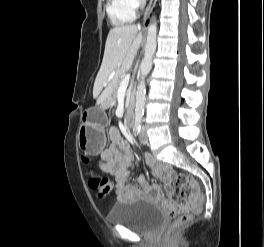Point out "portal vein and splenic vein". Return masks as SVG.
Instances as JSON below:
<instances>
[{
	"label": "portal vein and splenic vein",
	"mask_w": 264,
	"mask_h": 247,
	"mask_svg": "<svg viewBox=\"0 0 264 247\" xmlns=\"http://www.w3.org/2000/svg\"><path fill=\"white\" fill-rule=\"evenodd\" d=\"M114 77V73H112L110 75V78L109 79H112ZM129 81H130V76L127 75L123 78V80L121 81V84H120V89H123V88H126L129 84Z\"/></svg>",
	"instance_id": "obj_1"
}]
</instances>
